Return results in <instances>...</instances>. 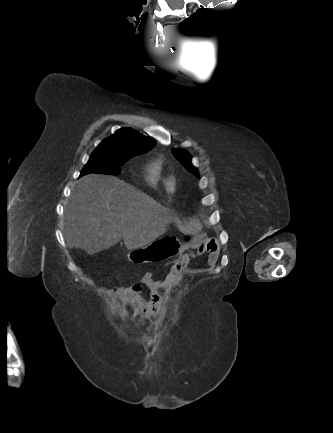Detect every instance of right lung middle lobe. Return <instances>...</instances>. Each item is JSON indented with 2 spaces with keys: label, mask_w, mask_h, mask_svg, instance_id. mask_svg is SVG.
I'll return each mask as SVG.
<instances>
[{
  "label": "right lung middle lobe",
  "mask_w": 333,
  "mask_h": 433,
  "mask_svg": "<svg viewBox=\"0 0 333 433\" xmlns=\"http://www.w3.org/2000/svg\"><path fill=\"white\" fill-rule=\"evenodd\" d=\"M134 156L132 154L113 153L107 149L96 148L82 169L80 176L88 173L117 175L121 172V166Z\"/></svg>",
  "instance_id": "dd1d6c3e"
}]
</instances>
